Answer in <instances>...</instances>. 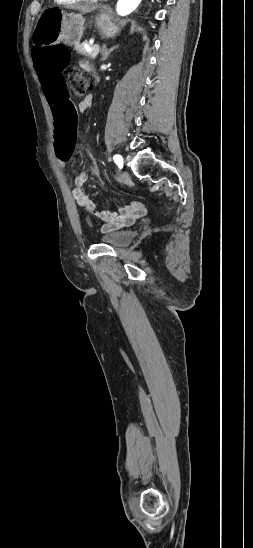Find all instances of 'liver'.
Segmentation results:
<instances>
[{"instance_id":"6515ba94","label":"liver","mask_w":253,"mask_h":548,"mask_svg":"<svg viewBox=\"0 0 253 548\" xmlns=\"http://www.w3.org/2000/svg\"><path fill=\"white\" fill-rule=\"evenodd\" d=\"M78 11L82 12V13H90L92 12L95 8L94 7H77L76 8Z\"/></svg>"}]
</instances>
